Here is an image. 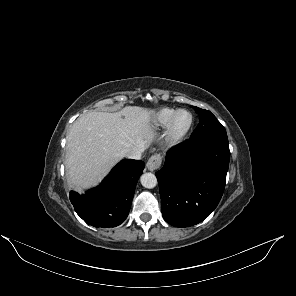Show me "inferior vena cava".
Instances as JSON below:
<instances>
[{
  "label": "inferior vena cava",
  "mask_w": 296,
  "mask_h": 296,
  "mask_svg": "<svg viewBox=\"0 0 296 296\" xmlns=\"http://www.w3.org/2000/svg\"><path fill=\"white\" fill-rule=\"evenodd\" d=\"M143 151L144 149H141V148H136V147L129 148L122 151V156L130 159L138 160L141 158Z\"/></svg>",
  "instance_id": "obj_1"
}]
</instances>
